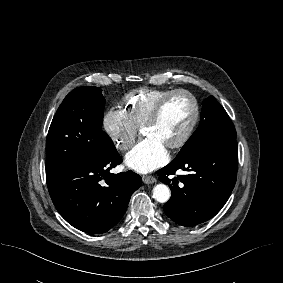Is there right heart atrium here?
<instances>
[{
    "label": "right heart atrium",
    "mask_w": 283,
    "mask_h": 283,
    "mask_svg": "<svg viewBox=\"0 0 283 283\" xmlns=\"http://www.w3.org/2000/svg\"><path fill=\"white\" fill-rule=\"evenodd\" d=\"M103 128L120 151L129 150L137 137L138 128L126 113L118 108L107 110L103 116Z\"/></svg>",
    "instance_id": "1"
}]
</instances>
